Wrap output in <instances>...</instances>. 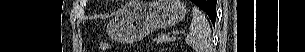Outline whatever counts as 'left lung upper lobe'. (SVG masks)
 I'll return each instance as SVG.
<instances>
[{
	"label": "left lung upper lobe",
	"instance_id": "obj_1",
	"mask_svg": "<svg viewBox=\"0 0 305 52\" xmlns=\"http://www.w3.org/2000/svg\"><path fill=\"white\" fill-rule=\"evenodd\" d=\"M206 0H197V5H201L205 2Z\"/></svg>",
	"mask_w": 305,
	"mask_h": 52
}]
</instances>
